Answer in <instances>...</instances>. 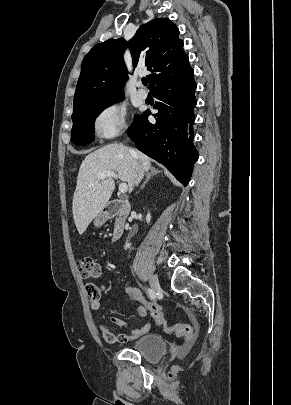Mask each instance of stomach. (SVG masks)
<instances>
[{
	"label": "stomach",
	"mask_w": 291,
	"mask_h": 405,
	"mask_svg": "<svg viewBox=\"0 0 291 405\" xmlns=\"http://www.w3.org/2000/svg\"><path fill=\"white\" fill-rule=\"evenodd\" d=\"M109 218V214L105 210H101L100 213L94 219V225L96 227L102 226Z\"/></svg>",
	"instance_id": "stomach-1"
}]
</instances>
